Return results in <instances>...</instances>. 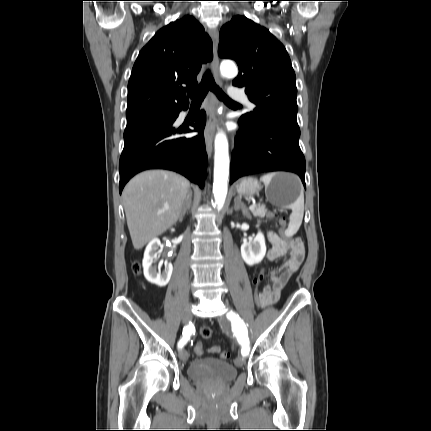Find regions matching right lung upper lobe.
<instances>
[{
  "instance_id": "right-lung-upper-lobe-1",
  "label": "right lung upper lobe",
  "mask_w": 431,
  "mask_h": 431,
  "mask_svg": "<svg viewBox=\"0 0 431 431\" xmlns=\"http://www.w3.org/2000/svg\"><path fill=\"white\" fill-rule=\"evenodd\" d=\"M212 41L191 16L160 29L140 51L128 82L127 122L171 113L189 104L203 63L211 61Z\"/></svg>"
}]
</instances>
